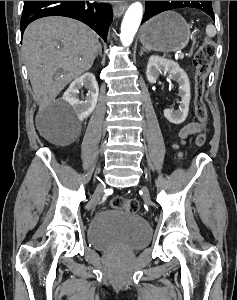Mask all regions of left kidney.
<instances>
[{
    "instance_id": "obj_1",
    "label": "left kidney",
    "mask_w": 237,
    "mask_h": 300,
    "mask_svg": "<svg viewBox=\"0 0 237 300\" xmlns=\"http://www.w3.org/2000/svg\"><path fill=\"white\" fill-rule=\"evenodd\" d=\"M161 71L168 73L169 79L177 81L179 83V97H181L178 111H172V109H164V117L174 123V125H181L188 117L189 105H190V83L188 75L185 71L179 67L175 61H169V59H163V57H150L147 65V79L149 83H156Z\"/></svg>"
}]
</instances>
